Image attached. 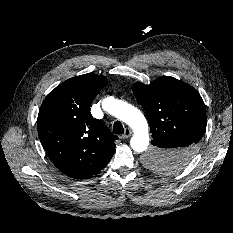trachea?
<instances>
[{
	"label": "trachea",
	"mask_w": 233,
	"mask_h": 233,
	"mask_svg": "<svg viewBox=\"0 0 233 233\" xmlns=\"http://www.w3.org/2000/svg\"><path fill=\"white\" fill-rule=\"evenodd\" d=\"M113 132H114V134H117V135L124 133V128H123V125L120 121L114 122Z\"/></svg>",
	"instance_id": "3493384b"
}]
</instances>
